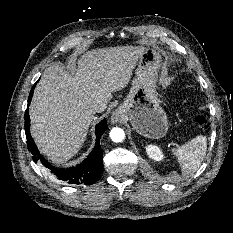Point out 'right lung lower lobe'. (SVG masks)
I'll list each match as a JSON object with an SVG mask.
<instances>
[{
  "label": "right lung lower lobe",
  "instance_id": "1",
  "mask_svg": "<svg viewBox=\"0 0 233 233\" xmlns=\"http://www.w3.org/2000/svg\"><path fill=\"white\" fill-rule=\"evenodd\" d=\"M37 82L34 84V86L30 91L28 106L31 102L33 91ZM29 129H30V118L27 109L25 112V133H26L28 149L32 154V159L35 162L40 161L59 180H62L69 184H77V185L78 184L92 185L98 180L102 172V156H103V151L100 147L99 140L102 134L104 133V131H106L107 129L106 119L101 121L96 126V143L90 155L78 166L73 168H66V169H57L55 167H52L51 164L48 163L44 159V157L41 156L31 137Z\"/></svg>",
  "mask_w": 233,
  "mask_h": 233
}]
</instances>
